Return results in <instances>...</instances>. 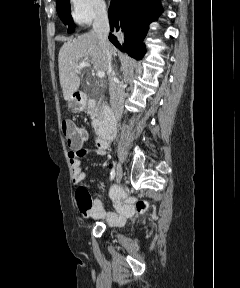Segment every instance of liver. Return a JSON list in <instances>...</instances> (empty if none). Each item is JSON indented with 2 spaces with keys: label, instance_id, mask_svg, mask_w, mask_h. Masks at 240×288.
Wrapping results in <instances>:
<instances>
[{
  "label": "liver",
  "instance_id": "1",
  "mask_svg": "<svg viewBox=\"0 0 240 288\" xmlns=\"http://www.w3.org/2000/svg\"><path fill=\"white\" fill-rule=\"evenodd\" d=\"M115 53L113 47L111 54ZM93 65L95 71H107L106 56L100 41L94 32L85 33L63 44L59 51V78L66 101L70 100L79 89L83 73L75 69L80 61Z\"/></svg>",
  "mask_w": 240,
  "mask_h": 288
}]
</instances>
